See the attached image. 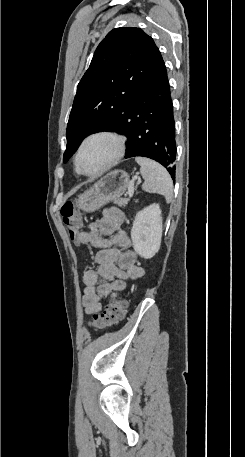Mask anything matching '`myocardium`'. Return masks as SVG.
<instances>
[{"instance_id":"f54148a6","label":"myocardium","mask_w":245,"mask_h":457,"mask_svg":"<svg viewBox=\"0 0 245 457\" xmlns=\"http://www.w3.org/2000/svg\"><path fill=\"white\" fill-rule=\"evenodd\" d=\"M100 137L109 138L113 141L114 145H113L112 157L108 161V163L105 164L101 169H99L95 172H87L82 168V166L80 164L81 155H82L87 143L90 140L95 139V138H100ZM124 149H125V141H124L123 137L121 135L117 134L116 132L103 130V131H97V132L91 133L83 139V141L77 151V154L75 157V163H76L77 169L83 175L91 176V177L98 176V175L104 173L105 171H107L108 169H110L111 167H113L118 162V160L124 154Z\"/></svg>"}]
</instances>
